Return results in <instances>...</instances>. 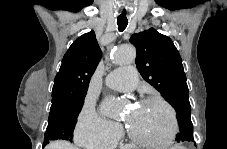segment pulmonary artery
I'll return each instance as SVG.
<instances>
[{"label": "pulmonary artery", "instance_id": "obj_1", "mask_svg": "<svg viewBox=\"0 0 227 149\" xmlns=\"http://www.w3.org/2000/svg\"><path fill=\"white\" fill-rule=\"evenodd\" d=\"M105 84L115 91L130 92L138 84L137 71L133 66L119 67L106 76Z\"/></svg>", "mask_w": 227, "mask_h": 149}]
</instances>
